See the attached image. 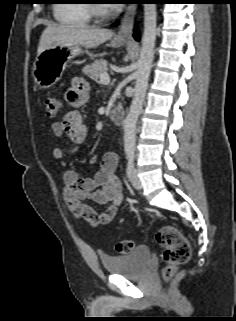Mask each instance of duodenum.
I'll use <instances>...</instances> for the list:
<instances>
[{
    "label": "duodenum",
    "mask_w": 236,
    "mask_h": 321,
    "mask_svg": "<svg viewBox=\"0 0 236 321\" xmlns=\"http://www.w3.org/2000/svg\"><path fill=\"white\" fill-rule=\"evenodd\" d=\"M111 119L114 124L121 125L124 121V113L120 108H116L111 113Z\"/></svg>",
    "instance_id": "410a0bca"
}]
</instances>
